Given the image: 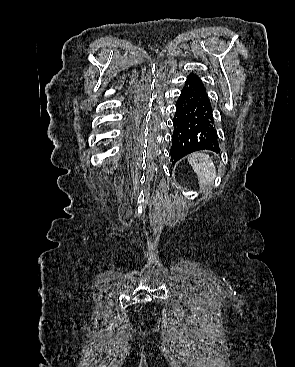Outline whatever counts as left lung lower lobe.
I'll return each instance as SVG.
<instances>
[{
	"mask_svg": "<svg viewBox=\"0 0 295 367\" xmlns=\"http://www.w3.org/2000/svg\"><path fill=\"white\" fill-rule=\"evenodd\" d=\"M174 133L170 150L175 164L185 155L199 151L219 152L213 107L200 78L190 74L176 103Z\"/></svg>",
	"mask_w": 295,
	"mask_h": 367,
	"instance_id": "0a47b994",
	"label": "left lung lower lobe"
}]
</instances>
